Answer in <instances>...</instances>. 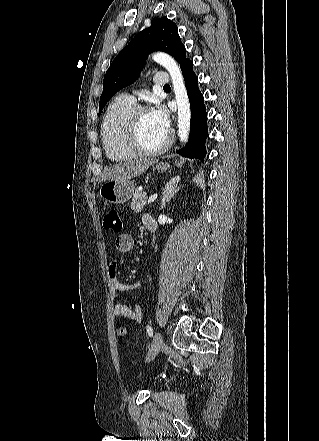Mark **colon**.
Wrapping results in <instances>:
<instances>
[{"label":"colon","mask_w":319,"mask_h":441,"mask_svg":"<svg viewBox=\"0 0 319 441\" xmlns=\"http://www.w3.org/2000/svg\"><path fill=\"white\" fill-rule=\"evenodd\" d=\"M103 227L106 230L113 232H120L122 230V220L118 209L111 208L106 211L103 217ZM119 332L121 336L126 334V330L124 328H121Z\"/></svg>","instance_id":"5ec220e1"}]
</instances>
